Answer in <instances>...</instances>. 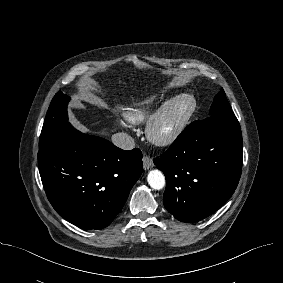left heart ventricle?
I'll return each mask as SVG.
<instances>
[{
    "instance_id": "obj_1",
    "label": "left heart ventricle",
    "mask_w": 283,
    "mask_h": 283,
    "mask_svg": "<svg viewBox=\"0 0 283 283\" xmlns=\"http://www.w3.org/2000/svg\"><path fill=\"white\" fill-rule=\"evenodd\" d=\"M179 113H180V110H176V111L172 114V117H171L170 119H168V120L164 123L163 129H167V128L171 125L172 121L179 115Z\"/></svg>"
}]
</instances>
